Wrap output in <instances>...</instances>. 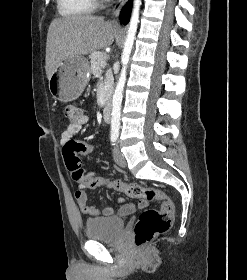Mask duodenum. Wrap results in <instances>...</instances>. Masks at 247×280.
<instances>
[{
    "instance_id": "1",
    "label": "duodenum",
    "mask_w": 247,
    "mask_h": 280,
    "mask_svg": "<svg viewBox=\"0 0 247 280\" xmlns=\"http://www.w3.org/2000/svg\"><path fill=\"white\" fill-rule=\"evenodd\" d=\"M102 115L105 122H109L111 120V104L109 102L104 103Z\"/></svg>"
}]
</instances>
